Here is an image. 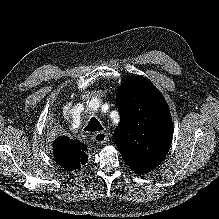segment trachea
Listing matches in <instances>:
<instances>
[{
  "mask_svg": "<svg viewBox=\"0 0 219 219\" xmlns=\"http://www.w3.org/2000/svg\"><path fill=\"white\" fill-rule=\"evenodd\" d=\"M84 130L88 132H97L103 130V127L95 117H92Z\"/></svg>",
  "mask_w": 219,
  "mask_h": 219,
  "instance_id": "1",
  "label": "trachea"
}]
</instances>
